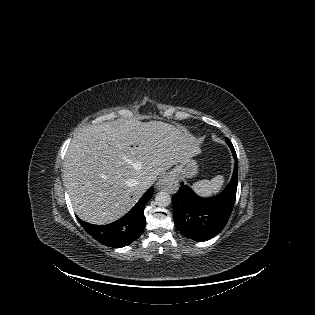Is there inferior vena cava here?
<instances>
[{
	"label": "inferior vena cava",
	"mask_w": 315,
	"mask_h": 315,
	"mask_svg": "<svg viewBox=\"0 0 315 315\" xmlns=\"http://www.w3.org/2000/svg\"><path fill=\"white\" fill-rule=\"evenodd\" d=\"M152 184H153L152 181L146 180V181H144V182L142 183L141 186H142V189H143V190H147Z\"/></svg>",
	"instance_id": "inferior-vena-cava-1"
}]
</instances>
